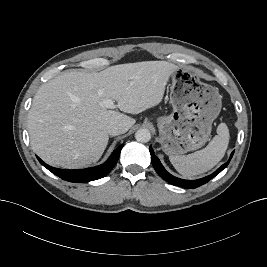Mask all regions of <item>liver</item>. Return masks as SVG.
<instances>
[{"label": "liver", "instance_id": "6515ba94", "mask_svg": "<svg viewBox=\"0 0 267 267\" xmlns=\"http://www.w3.org/2000/svg\"><path fill=\"white\" fill-rule=\"evenodd\" d=\"M174 69L167 61H144L99 73L58 75L33 98L28 114L32 149L51 166L74 169L97 162L108 144L107 126L118 123L126 132L135 124V119L101 102L111 99L122 112L141 113L161 102Z\"/></svg>", "mask_w": 267, "mask_h": 267}]
</instances>
